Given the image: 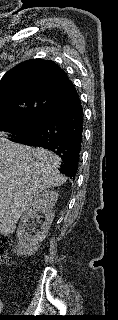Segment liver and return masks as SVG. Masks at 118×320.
I'll list each match as a JSON object with an SVG mask.
<instances>
[{"mask_svg": "<svg viewBox=\"0 0 118 320\" xmlns=\"http://www.w3.org/2000/svg\"><path fill=\"white\" fill-rule=\"evenodd\" d=\"M60 164L53 152L12 142L0 133L1 227H12L39 193L66 182Z\"/></svg>", "mask_w": 118, "mask_h": 320, "instance_id": "obj_1", "label": "liver"}]
</instances>
